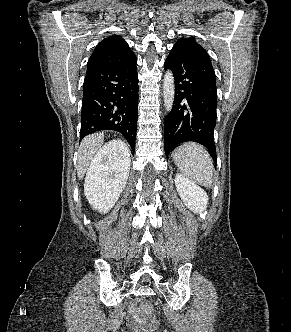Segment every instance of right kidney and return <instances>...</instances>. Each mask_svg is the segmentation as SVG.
I'll return each instance as SVG.
<instances>
[{
	"mask_svg": "<svg viewBox=\"0 0 291 332\" xmlns=\"http://www.w3.org/2000/svg\"><path fill=\"white\" fill-rule=\"evenodd\" d=\"M130 169V157L119 140L105 144L94 156L86 174L84 192L89 203L108 212L118 200Z\"/></svg>",
	"mask_w": 291,
	"mask_h": 332,
	"instance_id": "right-kidney-1",
	"label": "right kidney"
}]
</instances>
